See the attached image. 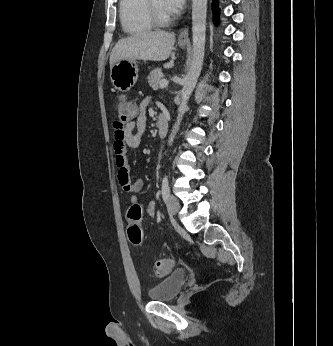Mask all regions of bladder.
Instances as JSON below:
<instances>
[{
	"mask_svg": "<svg viewBox=\"0 0 333 346\" xmlns=\"http://www.w3.org/2000/svg\"><path fill=\"white\" fill-rule=\"evenodd\" d=\"M186 277L184 270L173 271L149 289V298L155 302H165L174 299L184 286Z\"/></svg>",
	"mask_w": 333,
	"mask_h": 346,
	"instance_id": "bladder-1",
	"label": "bladder"
}]
</instances>
